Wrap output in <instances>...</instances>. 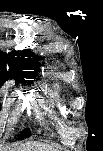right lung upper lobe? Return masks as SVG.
<instances>
[{"mask_svg": "<svg viewBox=\"0 0 103 151\" xmlns=\"http://www.w3.org/2000/svg\"><path fill=\"white\" fill-rule=\"evenodd\" d=\"M39 58L30 50L13 51L9 54L0 52V80L6 81L9 77L15 78L17 83L30 82L25 79H35L38 73ZM9 65V71L6 70V65ZM34 70V71H26Z\"/></svg>", "mask_w": 103, "mask_h": 151, "instance_id": "1", "label": "right lung upper lobe"}]
</instances>
